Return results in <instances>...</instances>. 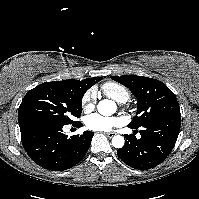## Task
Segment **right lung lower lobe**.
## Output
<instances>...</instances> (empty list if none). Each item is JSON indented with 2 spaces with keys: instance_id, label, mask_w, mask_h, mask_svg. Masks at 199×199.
<instances>
[{
  "instance_id": "1",
  "label": "right lung lower lobe",
  "mask_w": 199,
  "mask_h": 199,
  "mask_svg": "<svg viewBox=\"0 0 199 199\" xmlns=\"http://www.w3.org/2000/svg\"><path fill=\"white\" fill-rule=\"evenodd\" d=\"M82 126L80 122L72 125ZM22 144L30 158L39 166L51 171H63L76 165L87 153L91 131L68 137L63 124L31 120L19 123Z\"/></svg>"
}]
</instances>
